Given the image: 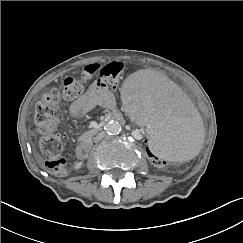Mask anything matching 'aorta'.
<instances>
[{
  "instance_id": "762f6f07",
  "label": "aorta",
  "mask_w": 243,
  "mask_h": 243,
  "mask_svg": "<svg viewBox=\"0 0 243 243\" xmlns=\"http://www.w3.org/2000/svg\"><path fill=\"white\" fill-rule=\"evenodd\" d=\"M105 130L110 135H116L121 132V124L116 121H110L106 124Z\"/></svg>"
}]
</instances>
